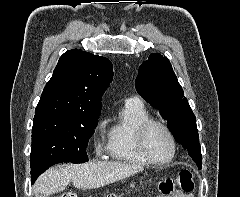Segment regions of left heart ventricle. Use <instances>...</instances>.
I'll return each instance as SVG.
<instances>
[{
    "label": "left heart ventricle",
    "instance_id": "1",
    "mask_svg": "<svg viewBox=\"0 0 240 197\" xmlns=\"http://www.w3.org/2000/svg\"><path fill=\"white\" fill-rule=\"evenodd\" d=\"M146 146L149 154L156 160L169 158L172 144L165 130L159 126H152L146 135Z\"/></svg>",
    "mask_w": 240,
    "mask_h": 197
}]
</instances>
